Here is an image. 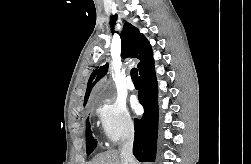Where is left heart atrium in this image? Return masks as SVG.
<instances>
[{
    "mask_svg": "<svg viewBox=\"0 0 251 164\" xmlns=\"http://www.w3.org/2000/svg\"><path fill=\"white\" fill-rule=\"evenodd\" d=\"M132 107H133L135 110L138 109V105H137L136 101H133V102H132Z\"/></svg>",
    "mask_w": 251,
    "mask_h": 164,
    "instance_id": "obj_1",
    "label": "left heart atrium"
}]
</instances>
